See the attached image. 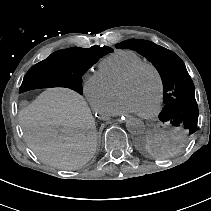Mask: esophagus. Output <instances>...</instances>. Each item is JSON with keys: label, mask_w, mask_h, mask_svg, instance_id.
<instances>
[{"label": "esophagus", "mask_w": 211, "mask_h": 211, "mask_svg": "<svg viewBox=\"0 0 211 211\" xmlns=\"http://www.w3.org/2000/svg\"><path fill=\"white\" fill-rule=\"evenodd\" d=\"M127 119V114L126 113H121L119 115H114L113 116V121L114 122H121Z\"/></svg>", "instance_id": "1"}]
</instances>
